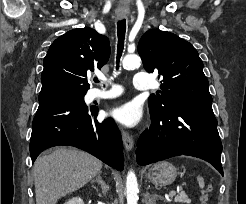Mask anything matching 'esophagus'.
<instances>
[{"instance_id": "34e87169", "label": "esophagus", "mask_w": 246, "mask_h": 204, "mask_svg": "<svg viewBox=\"0 0 246 204\" xmlns=\"http://www.w3.org/2000/svg\"><path fill=\"white\" fill-rule=\"evenodd\" d=\"M120 18H123V16H120ZM122 140H123V144H124L126 150L131 151L134 147V139H133L132 135L123 131L122 132Z\"/></svg>"}]
</instances>
